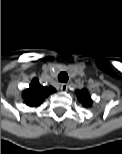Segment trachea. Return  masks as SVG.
<instances>
[{
	"label": "trachea",
	"instance_id": "obj_1",
	"mask_svg": "<svg viewBox=\"0 0 122 154\" xmlns=\"http://www.w3.org/2000/svg\"><path fill=\"white\" fill-rule=\"evenodd\" d=\"M58 81L63 83L67 82L68 81L67 72H60V74L58 75Z\"/></svg>",
	"mask_w": 122,
	"mask_h": 154
}]
</instances>
